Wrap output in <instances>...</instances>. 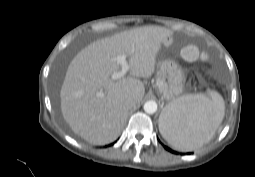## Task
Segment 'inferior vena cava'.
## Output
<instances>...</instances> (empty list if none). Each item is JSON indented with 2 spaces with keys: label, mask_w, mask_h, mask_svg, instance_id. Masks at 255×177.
Instances as JSON below:
<instances>
[{
  "label": "inferior vena cava",
  "mask_w": 255,
  "mask_h": 177,
  "mask_svg": "<svg viewBox=\"0 0 255 177\" xmlns=\"http://www.w3.org/2000/svg\"><path fill=\"white\" fill-rule=\"evenodd\" d=\"M125 105L128 109H131L135 105V101L132 98L126 100Z\"/></svg>",
  "instance_id": "inferior-vena-cava-1"
}]
</instances>
